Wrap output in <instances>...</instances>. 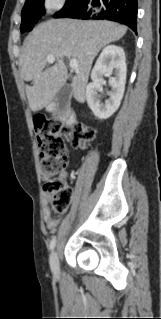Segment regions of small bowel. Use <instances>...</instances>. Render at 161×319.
I'll use <instances>...</instances> for the list:
<instances>
[{"label":"small bowel","mask_w":161,"mask_h":319,"mask_svg":"<svg viewBox=\"0 0 161 319\" xmlns=\"http://www.w3.org/2000/svg\"><path fill=\"white\" fill-rule=\"evenodd\" d=\"M60 179L65 181L67 179V173H63L61 176H60ZM44 201L46 202V205L44 206L43 208V217H44V220H45V223H46V226L49 230H53L55 229L58 224H59V219L57 218H53L50 214V209L47 205V203L49 201H51L52 199V195L49 194V193H45L44 194Z\"/></svg>","instance_id":"small-bowel-1"}]
</instances>
